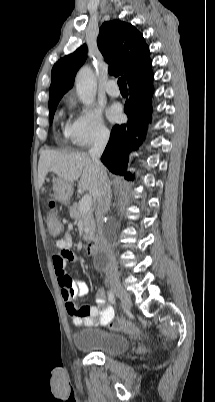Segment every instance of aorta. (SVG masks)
Wrapping results in <instances>:
<instances>
[{
	"label": "aorta",
	"mask_w": 215,
	"mask_h": 402,
	"mask_svg": "<svg viewBox=\"0 0 215 402\" xmlns=\"http://www.w3.org/2000/svg\"><path fill=\"white\" fill-rule=\"evenodd\" d=\"M76 92L79 99L85 105H92L95 101L97 92V83L94 73L89 66H83L77 73L76 79Z\"/></svg>",
	"instance_id": "1"
}]
</instances>
